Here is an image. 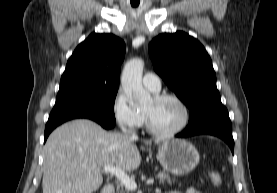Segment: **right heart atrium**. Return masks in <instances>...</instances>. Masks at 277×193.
<instances>
[{
	"label": "right heart atrium",
	"mask_w": 277,
	"mask_h": 193,
	"mask_svg": "<svg viewBox=\"0 0 277 193\" xmlns=\"http://www.w3.org/2000/svg\"><path fill=\"white\" fill-rule=\"evenodd\" d=\"M112 112L115 121L122 127L137 129L143 123L141 112L129 103L127 96L121 89L116 92L113 98Z\"/></svg>",
	"instance_id": "1"
}]
</instances>
